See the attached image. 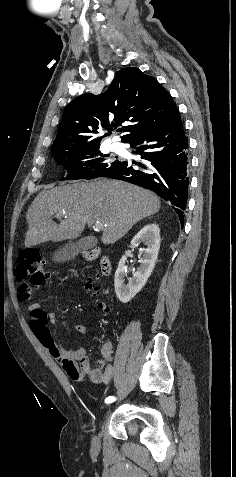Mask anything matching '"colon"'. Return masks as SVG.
Returning a JSON list of instances; mask_svg holds the SVG:
<instances>
[{"instance_id":"5ec220e1","label":"colon","mask_w":236,"mask_h":477,"mask_svg":"<svg viewBox=\"0 0 236 477\" xmlns=\"http://www.w3.org/2000/svg\"><path fill=\"white\" fill-rule=\"evenodd\" d=\"M16 276L20 284L18 292L22 301H30L34 289L44 286L47 283L48 275L42 266L41 254L35 249L23 251L18 256ZM86 288L93 295L97 296L103 292L99 284V277H90L86 280ZM105 308L104 304H100Z\"/></svg>"}]
</instances>
